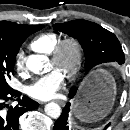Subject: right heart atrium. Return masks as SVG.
Instances as JSON below:
<instances>
[{
  "label": "right heart atrium",
  "mask_w": 130,
  "mask_h": 130,
  "mask_svg": "<svg viewBox=\"0 0 130 130\" xmlns=\"http://www.w3.org/2000/svg\"><path fill=\"white\" fill-rule=\"evenodd\" d=\"M15 68L18 72L24 73L25 72V55L22 50H19L14 59Z\"/></svg>",
  "instance_id": "1"
}]
</instances>
